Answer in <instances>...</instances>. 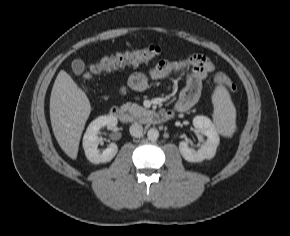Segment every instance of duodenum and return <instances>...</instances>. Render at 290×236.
Returning a JSON list of instances; mask_svg holds the SVG:
<instances>
[{
	"mask_svg": "<svg viewBox=\"0 0 290 236\" xmlns=\"http://www.w3.org/2000/svg\"><path fill=\"white\" fill-rule=\"evenodd\" d=\"M110 113L112 116H114L115 118H117L119 121L123 123H133L136 121V117L133 114H131L127 110L118 106L112 107L110 110ZM174 114H175L174 111H169V110L152 112L148 114L144 118V120L151 123L162 124L172 119Z\"/></svg>",
	"mask_w": 290,
	"mask_h": 236,
	"instance_id": "410a0bca",
	"label": "duodenum"
}]
</instances>
